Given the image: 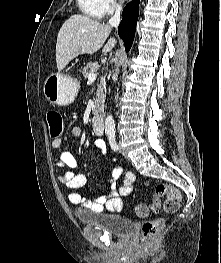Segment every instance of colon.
Returning <instances> with one entry per match:
<instances>
[{
	"label": "colon",
	"instance_id": "colon-1",
	"mask_svg": "<svg viewBox=\"0 0 221 263\" xmlns=\"http://www.w3.org/2000/svg\"><path fill=\"white\" fill-rule=\"evenodd\" d=\"M47 122L49 125V134L51 138H58L63 134L64 124L62 115L57 110L47 112ZM162 198H165L163 208L167 213L176 212L181 204L180 192L169 185L160 183L155 187V193L150 203H138L134 207L135 214L138 217H147L151 211L157 210L161 205ZM161 219H153L143 223L142 238L146 242L152 240L162 227Z\"/></svg>",
	"mask_w": 221,
	"mask_h": 263
}]
</instances>
